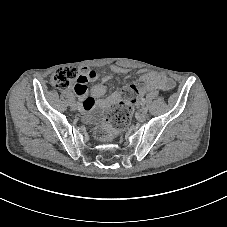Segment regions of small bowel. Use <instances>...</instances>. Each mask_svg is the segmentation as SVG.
I'll return each mask as SVG.
<instances>
[{
    "label": "small bowel",
    "instance_id": "1",
    "mask_svg": "<svg viewBox=\"0 0 227 227\" xmlns=\"http://www.w3.org/2000/svg\"><path fill=\"white\" fill-rule=\"evenodd\" d=\"M111 70L116 73H127L128 69L122 68L117 65H113ZM97 78L95 71L90 69H84L80 73V80L74 85V90L80 97L82 111L84 112L85 120L89 119V114L97 107L106 108L113 105L119 98L118 94H113L106 99H101L108 91L106 81L109 80V76L102 78V83L97 84L91 88L87 87V82L93 81ZM145 82L144 88L141 90V94L145 92H151L154 90L171 91L175 83L174 81L163 74L147 73L143 76Z\"/></svg>",
    "mask_w": 227,
    "mask_h": 227
}]
</instances>
